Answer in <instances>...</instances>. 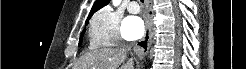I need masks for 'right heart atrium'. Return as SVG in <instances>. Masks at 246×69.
<instances>
[{
    "mask_svg": "<svg viewBox=\"0 0 246 69\" xmlns=\"http://www.w3.org/2000/svg\"><path fill=\"white\" fill-rule=\"evenodd\" d=\"M119 14L110 7L97 11L91 19L89 41L92 48L116 46L121 40Z\"/></svg>",
    "mask_w": 246,
    "mask_h": 69,
    "instance_id": "d8ad5b80",
    "label": "right heart atrium"
}]
</instances>
